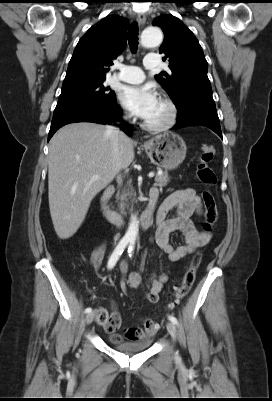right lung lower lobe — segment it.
I'll list each match as a JSON object with an SVG mask.
<instances>
[{
  "mask_svg": "<svg viewBox=\"0 0 272 401\" xmlns=\"http://www.w3.org/2000/svg\"><path fill=\"white\" fill-rule=\"evenodd\" d=\"M121 115V109L116 101L109 107H79L59 114L53 115L48 141L54 133L62 126L75 122H94L99 124L112 123ZM121 129L128 135L132 134V129L128 124H122Z\"/></svg>",
  "mask_w": 272,
  "mask_h": 401,
  "instance_id": "98d812e1",
  "label": "right lung lower lobe"
}]
</instances>
